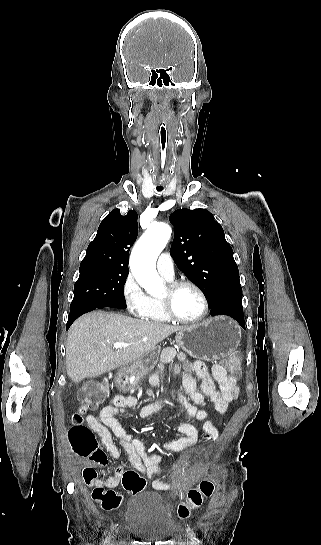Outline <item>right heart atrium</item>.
I'll use <instances>...</instances> for the list:
<instances>
[{"mask_svg":"<svg viewBox=\"0 0 321 545\" xmlns=\"http://www.w3.org/2000/svg\"><path fill=\"white\" fill-rule=\"evenodd\" d=\"M121 296L127 311L131 315L138 318H143L146 315L151 301L131 272L123 279L121 284Z\"/></svg>","mask_w":321,"mask_h":545,"instance_id":"obj_1","label":"right heart atrium"}]
</instances>
